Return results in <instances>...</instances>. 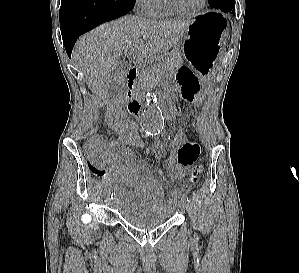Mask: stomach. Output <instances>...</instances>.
I'll return each mask as SVG.
<instances>
[{
	"instance_id": "0dacf381",
	"label": "stomach",
	"mask_w": 299,
	"mask_h": 273,
	"mask_svg": "<svg viewBox=\"0 0 299 273\" xmlns=\"http://www.w3.org/2000/svg\"><path fill=\"white\" fill-rule=\"evenodd\" d=\"M227 19L219 12L198 16L184 33L185 61L188 67H176L172 79L183 101H197L206 89L207 77L220 74L218 56L222 53Z\"/></svg>"
}]
</instances>
